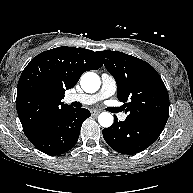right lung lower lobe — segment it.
<instances>
[{
  "instance_id": "right-lung-lower-lobe-1",
  "label": "right lung lower lobe",
  "mask_w": 193,
  "mask_h": 193,
  "mask_svg": "<svg viewBox=\"0 0 193 193\" xmlns=\"http://www.w3.org/2000/svg\"><path fill=\"white\" fill-rule=\"evenodd\" d=\"M85 108H71L53 120L40 133L28 138L41 152L59 155L70 150L77 142L83 121L90 116Z\"/></svg>"
}]
</instances>
